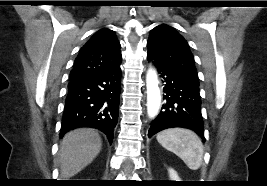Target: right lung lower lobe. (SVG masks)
Here are the masks:
<instances>
[{"instance_id": "1", "label": "right lung lower lobe", "mask_w": 267, "mask_h": 186, "mask_svg": "<svg viewBox=\"0 0 267 186\" xmlns=\"http://www.w3.org/2000/svg\"><path fill=\"white\" fill-rule=\"evenodd\" d=\"M120 64L69 78L60 136L91 127L105 133L112 143L118 121Z\"/></svg>"}]
</instances>
